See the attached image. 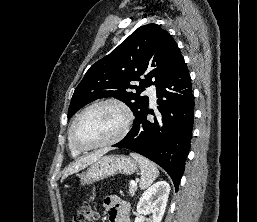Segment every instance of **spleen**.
I'll return each mask as SVG.
<instances>
[{
  "label": "spleen",
  "mask_w": 257,
  "mask_h": 222,
  "mask_svg": "<svg viewBox=\"0 0 257 222\" xmlns=\"http://www.w3.org/2000/svg\"><path fill=\"white\" fill-rule=\"evenodd\" d=\"M130 156L133 157L140 166L141 170V179L139 186L141 189L148 188L153 181L158 177L159 171L154 163L146 159L142 155L137 153H130Z\"/></svg>",
  "instance_id": "spleen-1"
}]
</instances>
